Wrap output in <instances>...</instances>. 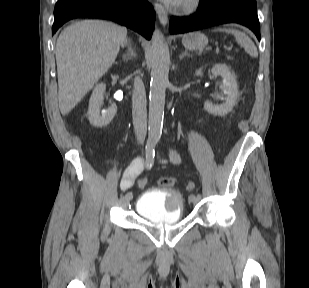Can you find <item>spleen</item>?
Wrapping results in <instances>:
<instances>
[{"label":"spleen","instance_id":"obj_1","mask_svg":"<svg viewBox=\"0 0 309 288\" xmlns=\"http://www.w3.org/2000/svg\"><path fill=\"white\" fill-rule=\"evenodd\" d=\"M219 31L232 34L237 43L240 44L250 56L255 58L258 56L257 48L245 33L234 29H219Z\"/></svg>","mask_w":309,"mask_h":288}]
</instances>
